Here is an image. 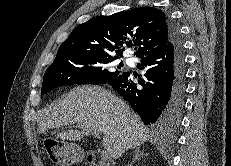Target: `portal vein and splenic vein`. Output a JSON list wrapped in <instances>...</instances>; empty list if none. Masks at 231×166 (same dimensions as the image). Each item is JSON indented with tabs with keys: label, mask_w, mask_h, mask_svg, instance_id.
<instances>
[{
	"label": "portal vein and splenic vein",
	"mask_w": 231,
	"mask_h": 166,
	"mask_svg": "<svg viewBox=\"0 0 231 166\" xmlns=\"http://www.w3.org/2000/svg\"><path fill=\"white\" fill-rule=\"evenodd\" d=\"M95 137H97L98 139H101V134L98 132H94L93 133ZM111 159L110 153L108 152V150H103L101 153V160L104 163H108Z\"/></svg>",
	"instance_id": "portal-vein-and-splenic-vein-1"
}]
</instances>
